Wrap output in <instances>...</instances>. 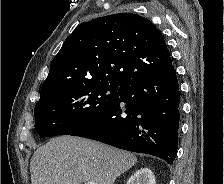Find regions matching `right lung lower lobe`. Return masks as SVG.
Here are the masks:
<instances>
[{"label": "right lung lower lobe", "instance_id": "98d812e1", "mask_svg": "<svg viewBox=\"0 0 224 184\" xmlns=\"http://www.w3.org/2000/svg\"><path fill=\"white\" fill-rule=\"evenodd\" d=\"M179 119V84L172 69L125 83L112 105L69 135L154 155L172 164Z\"/></svg>", "mask_w": 224, "mask_h": 184}]
</instances>
